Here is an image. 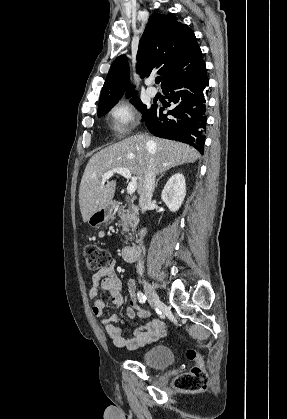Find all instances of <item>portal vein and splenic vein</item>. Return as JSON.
Segmentation results:
<instances>
[{"mask_svg": "<svg viewBox=\"0 0 287 419\" xmlns=\"http://www.w3.org/2000/svg\"><path fill=\"white\" fill-rule=\"evenodd\" d=\"M115 173L120 174L121 176L125 177L126 179H130V182L127 186V193L132 195L137 189V177H133L131 172L126 168H115L113 170H109L102 175V182H106L110 179Z\"/></svg>", "mask_w": 287, "mask_h": 419, "instance_id": "portal-vein-and-splenic-vein-1", "label": "portal vein and splenic vein"}]
</instances>
